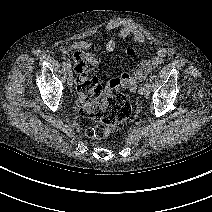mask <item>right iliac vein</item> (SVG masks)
Wrapping results in <instances>:
<instances>
[{"label":"right iliac vein","mask_w":212,"mask_h":212,"mask_svg":"<svg viewBox=\"0 0 212 212\" xmlns=\"http://www.w3.org/2000/svg\"><path fill=\"white\" fill-rule=\"evenodd\" d=\"M67 82H68V85H69L70 87L73 86L74 77H73L72 71H68Z\"/></svg>","instance_id":"right-iliac-vein-1"}]
</instances>
